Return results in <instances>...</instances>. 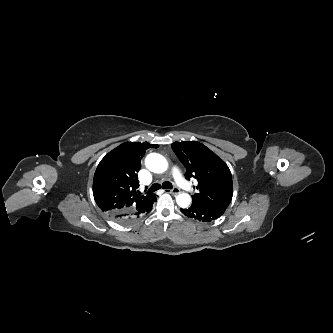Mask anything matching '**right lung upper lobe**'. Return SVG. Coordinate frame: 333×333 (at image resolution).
I'll list each match as a JSON object with an SVG mask.
<instances>
[{
	"mask_svg": "<svg viewBox=\"0 0 333 333\" xmlns=\"http://www.w3.org/2000/svg\"><path fill=\"white\" fill-rule=\"evenodd\" d=\"M151 147L159 146L147 142H125L101 160L94 174L93 195L103 212L135 210L155 198V194L144 196L136 191L141 159L146 149Z\"/></svg>",
	"mask_w": 333,
	"mask_h": 333,
	"instance_id": "obj_1",
	"label": "right lung upper lobe"
}]
</instances>
